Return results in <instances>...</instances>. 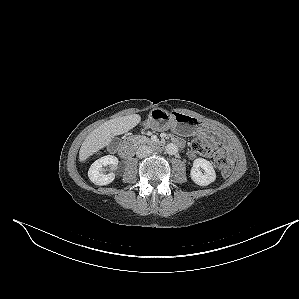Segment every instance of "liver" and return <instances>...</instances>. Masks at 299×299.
Instances as JSON below:
<instances>
[{"label": "liver", "mask_w": 299, "mask_h": 299, "mask_svg": "<svg viewBox=\"0 0 299 299\" xmlns=\"http://www.w3.org/2000/svg\"><path fill=\"white\" fill-rule=\"evenodd\" d=\"M141 121L139 114L117 117L106 121L94 129L83 141L80 151L79 160L84 162L94 153L106 147L114 136L127 133L137 126Z\"/></svg>", "instance_id": "obj_1"}]
</instances>
